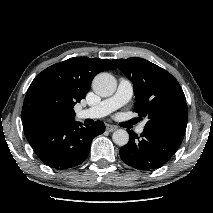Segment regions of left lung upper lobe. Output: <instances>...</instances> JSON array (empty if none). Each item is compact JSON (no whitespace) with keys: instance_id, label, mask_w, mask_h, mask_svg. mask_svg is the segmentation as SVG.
Returning a JSON list of instances; mask_svg holds the SVG:
<instances>
[{"instance_id":"obj_1","label":"left lung upper lobe","mask_w":213,"mask_h":213,"mask_svg":"<svg viewBox=\"0 0 213 213\" xmlns=\"http://www.w3.org/2000/svg\"><path fill=\"white\" fill-rule=\"evenodd\" d=\"M113 62L134 85V111L148 118L144 130L182 142L188 110L183 90L174 76L139 57Z\"/></svg>"}]
</instances>
